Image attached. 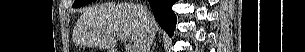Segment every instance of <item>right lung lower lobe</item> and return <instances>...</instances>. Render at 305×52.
Returning <instances> with one entry per match:
<instances>
[{"label": "right lung lower lobe", "instance_id": "98d812e1", "mask_svg": "<svg viewBox=\"0 0 305 52\" xmlns=\"http://www.w3.org/2000/svg\"><path fill=\"white\" fill-rule=\"evenodd\" d=\"M177 0H149L153 14L160 27L170 36L173 35L177 18L172 11V5Z\"/></svg>", "mask_w": 305, "mask_h": 52}]
</instances>
